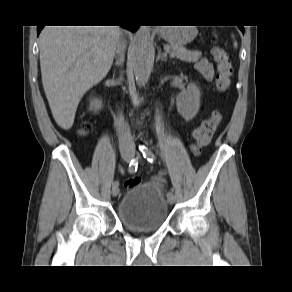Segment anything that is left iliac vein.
<instances>
[{
	"mask_svg": "<svg viewBox=\"0 0 292 292\" xmlns=\"http://www.w3.org/2000/svg\"><path fill=\"white\" fill-rule=\"evenodd\" d=\"M168 202L169 204H174L175 203V197L173 195L168 197Z\"/></svg>",
	"mask_w": 292,
	"mask_h": 292,
	"instance_id": "4c4485c4",
	"label": "left iliac vein"
}]
</instances>
